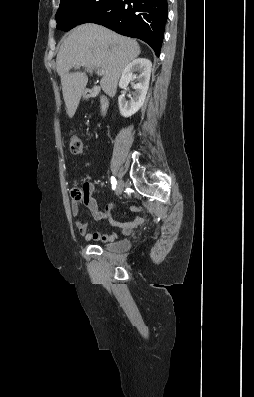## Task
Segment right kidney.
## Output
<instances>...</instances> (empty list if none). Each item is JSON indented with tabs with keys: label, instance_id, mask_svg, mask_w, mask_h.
Returning <instances> with one entry per match:
<instances>
[{
	"label": "right kidney",
	"instance_id": "1",
	"mask_svg": "<svg viewBox=\"0 0 254 397\" xmlns=\"http://www.w3.org/2000/svg\"><path fill=\"white\" fill-rule=\"evenodd\" d=\"M151 68V61L145 58L135 59L124 68L119 82L120 88L127 89L129 82L136 79L138 83L133 85L135 91L129 95L130 100L126 99L125 93L118 98L119 110L123 117L132 116L143 105L149 87Z\"/></svg>",
	"mask_w": 254,
	"mask_h": 397
}]
</instances>
